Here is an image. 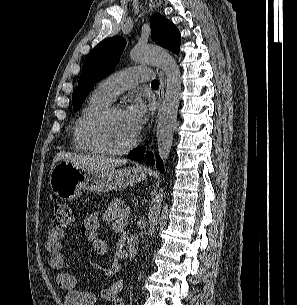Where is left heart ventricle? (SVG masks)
<instances>
[{
  "mask_svg": "<svg viewBox=\"0 0 297 305\" xmlns=\"http://www.w3.org/2000/svg\"><path fill=\"white\" fill-rule=\"evenodd\" d=\"M101 135L111 147H122L129 143L135 136L128 127L123 111H113L101 125Z\"/></svg>",
  "mask_w": 297,
  "mask_h": 305,
  "instance_id": "left-heart-ventricle-1",
  "label": "left heart ventricle"
}]
</instances>
